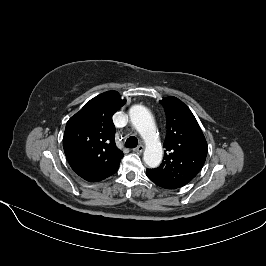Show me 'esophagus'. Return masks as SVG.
<instances>
[{
  "label": "esophagus",
  "mask_w": 266,
  "mask_h": 266,
  "mask_svg": "<svg viewBox=\"0 0 266 266\" xmlns=\"http://www.w3.org/2000/svg\"><path fill=\"white\" fill-rule=\"evenodd\" d=\"M134 151L137 153H142L144 151V146L139 145L137 148L134 149Z\"/></svg>",
  "instance_id": "esophagus-1"
}]
</instances>
